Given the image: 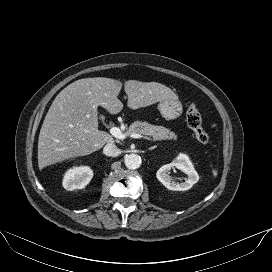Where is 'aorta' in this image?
I'll list each match as a JSON object with an SVG mask.
<instances>
[{
	"instance_id": "aorta-1",
	"label": "aorta",
	"mask_w": 272,
	"mask_h": 272,
	"mask_svg": "<svg viewBox=\"0 0 272 272\" xmlns=\"http://www.w3.org/2000/svg\"><path fill=\"white\" fill-rule=\"evenodd\" d=\"M125 166L128 169L134 170L140 167L141 157L137 154H129L125 157Z\"/></svg>"
}]
</instances>
